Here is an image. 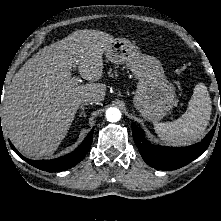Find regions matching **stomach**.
Listing matches in <instances>:
<instances>
[{
    "label": "stomach",
    "instance_id": "0dacf381",
    "mask_svg": "<svg viewBox=\"0 0 221 221\" xmlns=\"http://www.w3.org/2000/svg\"><path fill=\"white\" fill-rule=\"evenodd\" d=\"M104 53L107 61L126 64L138 79L133 103L147 121L161 120L177 104L174 87L157 58L141 53L135 43L125 38L115 39Z\"/></svg>",
    "mask_w": 221,
    "mask_h": 221
}]
</instances>
